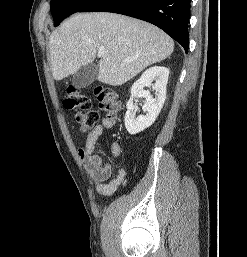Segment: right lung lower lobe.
Listing matches in <instances>:
<instances>
[{"label":"right lung lower lobe","instance_id":"1","mask_svg":"<svg viewBox=\"0 0 247 257\" xmlns=\"http://www.w3.org/2000/svg\"><path fill=\"white\" fill-rule=\"evenodd\" d=\"M78 12H113L150 22L188 52L190 0H91Z\"/></svg>","mask_w":247,"mask_h":257}]
</instances>
